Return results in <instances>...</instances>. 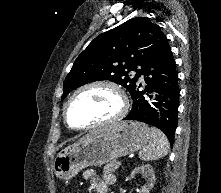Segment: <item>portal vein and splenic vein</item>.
Segmentation results:
<instances>
[{
	"label": "portal vein and splenic vein",
	"mask_w": 221,
	"mask_h": 193,
	"mask_svg": "<svg viewBox=\"0 0 221 193\" xmlns=\"http://www.w3.org/2000/svg\"><path fill=\"white\" fill-rule=\"evenodd\" d=\"M122 164V162L121 161H118V165L120 166Z\"/></svg>",
	"instance_id": "portal-vein-and-splenic-vein-1"
}]
</instances>
